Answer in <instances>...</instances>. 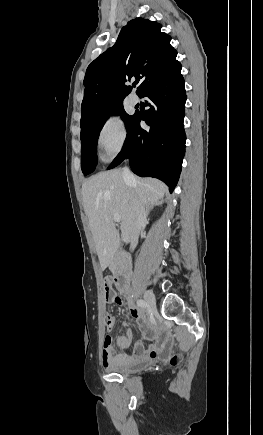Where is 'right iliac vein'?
<instances>
[{"label":"right iliac vein","mask_w":263,"mask_h":435,"mask_svg":"<svg viewBox=\"0 0 263 435\" xmlns=\"http://www.w3.org/2000/svg\"><path fill=\"white\" fill-rule=\"evenodd\" d=\"M144 300L146 301V303L148 304V306L155 310L156 309V300H155V296L151 291H145L143 294Z\"/></svg>","instance_id":"63e3f726"}]
</instances>
